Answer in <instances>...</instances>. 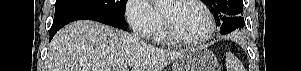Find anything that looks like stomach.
Instances as JSON below:
<instances>
[{
    "label": "stomach",
    "instance_id": "stomach-1",
    "mask_svg": "<svg viewBox=\"0 0 301 71\" xmlns=\"http://www.w3.org/2000/svg\"><path fill=\"white\" fill-rule=\"evenodd\" d=\"M173 71H219L216 56L207 48L199 47L188 50L177 58Z\"/></svg>",
    "mask_w": 301,
    "mask_h": 71
}]
</instances>
